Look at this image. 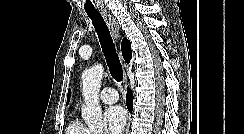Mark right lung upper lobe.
<instances>
[{"label": "right lung upper lobe", "instance_id": "right-lung-upper-lobe-1", "mask_svg": "<svg viewBox=\"0 0 244 134\" xmlns=\"http://www.w3.org/2000/svg\"><path fill=\"white\" fill-rule=\"evenodd\" d=\"M121 49H122V55H123V58L125 59V61H126L127 63H129V61L131 60V57H132L131 43H130V41L127 40L126 38H124V39L122 40V46H121ZM70 96H71V91L69 90V91H68L67 104L69 103Z\"/></svg>", "mask_w": 244, "mask_h": 134}]
</instances>
